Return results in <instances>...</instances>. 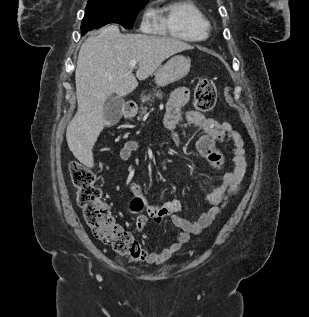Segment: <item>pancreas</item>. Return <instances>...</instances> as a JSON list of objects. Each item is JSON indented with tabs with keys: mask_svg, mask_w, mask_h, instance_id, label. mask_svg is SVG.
I'll list each match as a JSON object with an SVG mask.
<instances>
[{
	"mask_svg": "<svg viewBox=\"0 0 309 317\" xmlns=\"http://www.w3.org/2000/svg\"><path fill=\"white\" fill-rule=\"evenodd\" d=\"M154 97L162 98V97H163V93H162L160 90H158V91H156L151 97H149L148 99H149L150 101H153ZM146 110H147L146 107H142V108H141V111H142V112H146Z\"/></svg>",
	"mask_w": 309,
	"mask_h": 317,
	"instance_id": "1",
	"label": "pancreas"
}]
</instances>
